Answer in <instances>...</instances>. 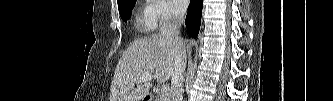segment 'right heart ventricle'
Instances as JSON below:
<instances>
[{
	"mask_svg": "<svg viewBox=\"0 0 333 101\" xmlns=\"http://www.w3.org/2000/svg\"><path fill=\"white\" fill-rule=\"evenodd\" d=\"M137 28L140 31H149L151 29H153L152 25H151V20L148 17V13H147V9H145L138 18L137 21Z\"/></svg>",
	"mask_w": 333,
	"mask_h": 101,
	"instance_id": "1",
	"label": "right heart ventricle"
}]
</instances>
